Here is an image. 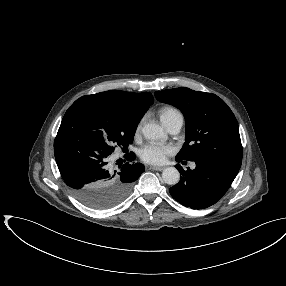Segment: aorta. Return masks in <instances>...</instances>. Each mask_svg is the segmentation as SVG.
I'll use <instances>...</instances> for the list:
<instances>
[{"instance_id":"1","label":"aorta","mask_w":286,"mask_h":286,"mask_svg":"<svg viewBox=\"0 0 286 286\" xmlns=\"http://www.w3.org/2000/svg\"><path fill=\"white\" fill-rule=\"evenodd\" d=\"M142 133L145 138L150 140H159L166 137L164 129L155 123L146 124L142 129ZM162 179L168 185H175L180 180V173L175 167H167L162 172Z\"/></svg>"}]
</instances>
